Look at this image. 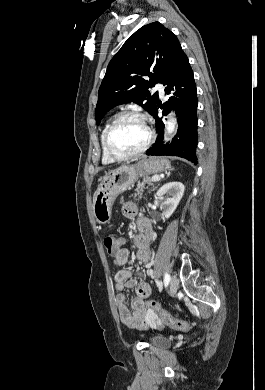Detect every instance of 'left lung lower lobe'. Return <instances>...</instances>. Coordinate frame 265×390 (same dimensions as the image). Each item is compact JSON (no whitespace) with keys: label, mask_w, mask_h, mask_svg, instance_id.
Wrapping results in <instances>:
<instances>
[{"label":"left lung lower lobe","mask_w":265,"mask_h":390,"mask_svg":"<svg viewBox=\"0 0 265 390\" xmlns=\"http://www.w3.org/2000/svg\"><path fill=\"white\" fill-rule=\"evenodd\" d=\"M167 95L172 94L164 108L159 103L152 116L156 120L158 133L156 142L147 151L151 156H178L197 164V93L193 71L184 52L176 60L170 74L162 83ZM158 108L166 115L175 108L179 128L176 136L168 145H163L164 123L158 117Z\"/></svg>","instance_id":"1"}]
</instances>
